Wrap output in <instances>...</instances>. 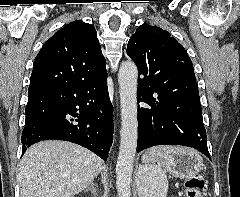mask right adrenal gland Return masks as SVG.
<instances>
[{
	"instance_id": "obj_1",
	"label": "right adrenal gland",
	"mask_w": 240,
	"mask_h": 197,
	"mask_svg": "<svg viewBox=\"0 0 240 197\" xmlns=\"http://www.w3.org/2000/svg\"><path fill=\"white\" fill-rule=\"evenodd\" d=\"M88 191H90L93 194L94 197H97V190L95 188V184L94 183H92L89 188L85 189V192H88Z\"/></svg>"
}]
</instances>
